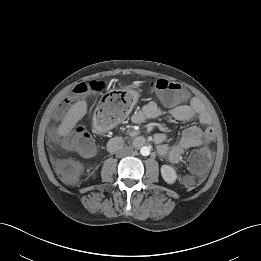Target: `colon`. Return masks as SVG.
<instances>
[{"mask_svg":"<svg viewBox=\"0 0 261 261\" xmlns=\"http://www.w3.org/2000/svg\"><path fill=\"white\" fill-rule=\"evenodd\" d=\"M103 84L96 81L81 82L73 88L75 95H83L90 91H102ZM151 91L158 93L160 99L165 104H177L187 100V92L183 86L178 83L166 80L156 79L149 83ZM131 108V101L120 91L106 93L102 101L101 123L110 126L118 123L123 119ZM62 145L65 149L79 152L85 156H91L96 151L95 142L91 133L86 127H78L75 131L62 139ZM210 165V154L204 150H196L189 156L188 167L190 171L197 175L206 172ZM55 169L61 178L73 184L78 180L81 174V163L72 157L59 158L55 161ZM187 184H192L193 180L190 176L183 178Z\"/></svg>","mask_w":261,"mask_h":261,"instance_id":"1","label":"colon"}]
</instances>
